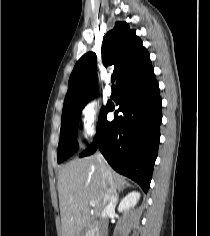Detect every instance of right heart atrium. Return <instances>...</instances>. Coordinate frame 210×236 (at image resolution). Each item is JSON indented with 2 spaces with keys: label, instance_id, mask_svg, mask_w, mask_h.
<instances>
[{
  "label": "right heart atrium",
  "instance_id": "obj_1",
  "mask_svg": "<svg viewBox=\"0 0 210 236\" xmlns=\"http://www.w3.org/2000/svg\"><path fill=\"white\" fill-rule=\"evenodd\" d=\"M80 122L84 138L92 140L100 129V110L94 102L89 101L81 108Z\"/></svg>",
  "mask_w": 210,
  "mask_h": 236
}]
</instances>
